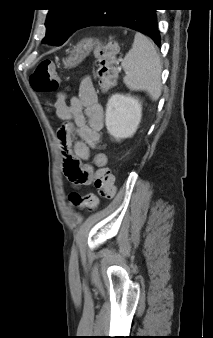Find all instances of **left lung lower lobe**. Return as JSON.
Instances as JSON below:
<instances>
[{
	"label": "left lung lower lobe",
	"mask_w": 213,
	"mask_h": 338,
	"mask_svg": "<svg viewBox=\"0 0 213 338\" xmlns=\"http://www.w3.org/2000/svg\"><path fill=\"white\" fill-rule=\"evenodd\" d=\"M155 10L149 0H107L87 15L78 29L90 26H124L149 36L160 46Z\"/></svg>",
	"instance_id": "0a47b994"
}]
</instances>
